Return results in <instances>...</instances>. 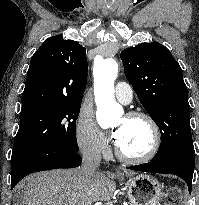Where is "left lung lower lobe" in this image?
Listing matches in <instances>:
<instances>
[{
	"label": "left lung lower lobe",
	"instance_id": "left-lung-lower-lobe-1",
	"mask_svg": "<svg viewBox=\"0 0 199 205\" xmlns=\"http://www.w3.org/2000/svg\"><path fill=\"white\" fill-rule=\"evenodd\" d=\"M195 157L176 155L164 158L162 160L128 167V169L152 172V173H170L181 177L188 186V190L191 193L192 178L194 173Z\"/></svg>",
	"mask_w": 199,
	"mask_h": 205
}]
</instances>
